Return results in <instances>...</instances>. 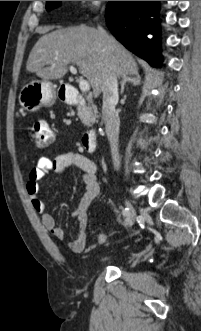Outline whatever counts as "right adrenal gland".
Returning a JSON list of instances; mask_svg holds the SVG:
<instances>
[{
    "mask_svg": "<svg viewBox=\"0 0 201 331\" xmlns=\"http://www.w3.org/2000/svg\"><path fill=\"white\" fill-rule=\"evenodd\" d=\"M127 83H131V84H133V85H140V83H141V78H140V76L138 75V74H135V75H133V76H131V77H126V76H124L123 77V80H122V82H121V90H120V93L121 94H123V92H124V89H125V86H126V84Z\"/></svg>",
    "mask_w": 201,
    "mask_h": 331,
    "instance_id": "2a0ac1e0",
    "label": "right adrenal gland"
}]
</instances>
